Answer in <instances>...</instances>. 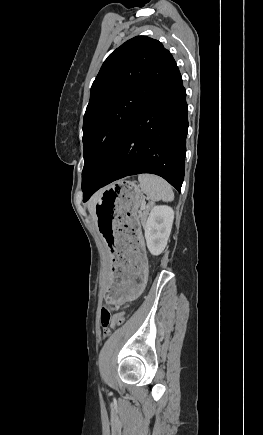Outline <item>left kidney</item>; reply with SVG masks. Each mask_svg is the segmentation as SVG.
<instances>
[{"mask_svg": "<svg viewBox=\"0 0 263 435\" xmlns=\"http://www.w3.org/2000/svg\"><path fill=\"white\" fill-rule=\"evenodd\" d=\"M174 211L165 205L154 206L144 225L147 248L152 255H160L171 233Z\"/></svg>", "mask_w": 263, "mask_h": 435, "instance_id": "1", "label": "left kidney"}]
</instances>
